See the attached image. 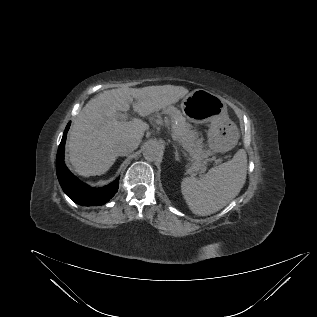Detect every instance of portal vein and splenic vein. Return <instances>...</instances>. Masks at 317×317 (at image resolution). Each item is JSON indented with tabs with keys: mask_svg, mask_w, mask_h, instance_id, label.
<instances>
[{
	"mask_svg": "<svg viewBox=\"0 0 317 317\" xmlns=\"http://www.w3.org/2000/svg\"><path fill=\"white\" fill-rule=\"evenodd\" d=\"M118 118L119 119H126L127 118V115L126 114H118ZM195 167H190V171H194Z\"/></svg>",
	"mask_w": 317,
	"mask_h": 317,
	"instance_id": "obj_1",
	"label": "portal vein and splenic vein"
}]
</instances>
